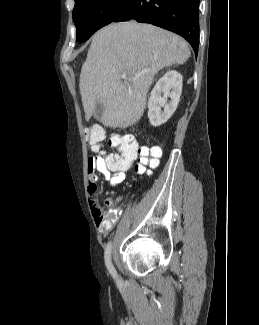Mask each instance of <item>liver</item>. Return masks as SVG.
Listing matches in <instances>:
<instances>
[{"instance_id":"1","label":"liver","mask_w":259,"mask_h":325,"mask_svg":"<svg viewBox=\"0 0 259 325\" xmlns=\"http://www.w3.org/2000/svg\"><path fill=\"white\" fill-rule=\"evenodd\" d=\"M190 54L181 37L151 24L127 21L103 27L93 36L80 73L86 121L99 102L104 126H133L144 113L154 76L164 67L184 64Z\"/></svg>"}]
</instances>
